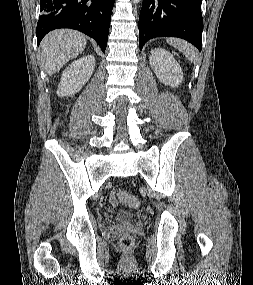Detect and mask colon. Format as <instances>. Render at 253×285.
I'll list each match as a JSON object with an SVG mask.
<instances>
[{
	"label": "colon",
	"instance_id": "colon-1",
	"mask_svg": "<svg viewBox=\"0 0 253 285\" xmlns=\"http://www.w3.org/2000/svg\"><path fill=\"white\" fill-rule=\"evenodd\" d=\"M117 196L122 204L130 208H137L140 205V200L137 197L130 195L124 190H119ZM120 244L123 248H130L134 244V239L131 235L125 234L121 238Z\"/></svg>",
	"mask_w": 253,
	"mask_h": 285
}]
</instances>
